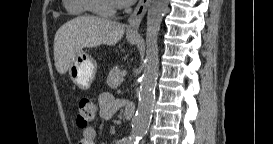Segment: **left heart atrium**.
Returning a JSON list of instances; mask_svg holds the SVG:
<instances>
[{"label": "left heart atrium", "mask_w": 273, "mask_h": 144, "mask_svg": "<svg viewBox=\"0 0 273 144\" xmlns=\"http://www.w3.org/2000/svg\"><path fill=\"white\" fill-rule=\"evenodd\" d=\"M113 3L119 7H124L132 4L135 0H112Z\"/></svg>", "instance_id": "obj_1"}]
</instances>
